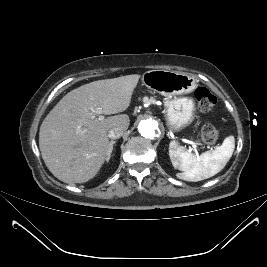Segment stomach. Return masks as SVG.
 <instances>
[{
    "label": "stomach",
    "instance_id": "stomach-1",
    "mask_svg": "<svg viewBox=\"0 0 267 267\" xmlns=\"http://www.w3.org/2000/svg\"><path fill=\"white\" fill-rule=\"evenodd\" d=\"M143 83L164 95L166 122L171 130L180 132L194 120L195 102L185 95L193 92L198 82L195 77L181 72L152 70L143 75Z\"/></svg>",
    "mask_w": 267,
    "mask_h": 267
}]
</instances>
